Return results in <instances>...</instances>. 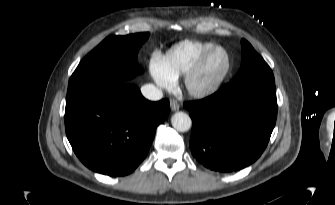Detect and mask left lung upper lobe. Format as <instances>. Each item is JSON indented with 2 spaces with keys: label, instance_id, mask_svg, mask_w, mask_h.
Listing matches in <instances>:
<instances>
[{
  "label": "left lung upper lobe",
  "instance_id": "1",
  "mask_svg": "<svg viewBox=\"0 0 335 205\" xmlns=\"http://www.w3.org/2000/svg\"><path fill=\"white\" fill-rule=\"evenodd\" d=\"M242 62L238 73L231 81L258 79L275 83L274 75L264 59L253 49L245 39L241 40Z\"/></svg>",
  "mask_w": 335,
  "mask_h": 205
}]
</instances>
